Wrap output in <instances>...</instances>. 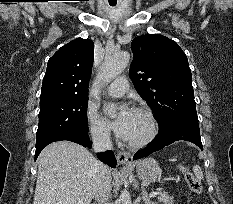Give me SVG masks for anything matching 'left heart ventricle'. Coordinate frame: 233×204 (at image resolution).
<instances>
[{"label":"left heart ventricle","mask_w":233,"mask_h":204,"mask_svg":"<svg viewBox=\"0 0 233 204\" xmlns=\"http://www.w3.org/2000/svg\"><path fill=\"white\" fill-rule=\"evenodd\" d=\"M149 125L144 115L134 112L132 114L129 130H128V141L141 140L148 133Z\"/></svg>","instance_id":"left-heart-ventricle-1"}]
</instances>
